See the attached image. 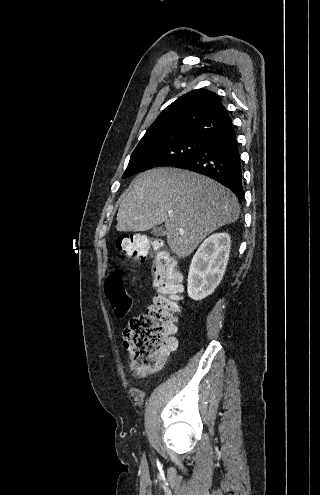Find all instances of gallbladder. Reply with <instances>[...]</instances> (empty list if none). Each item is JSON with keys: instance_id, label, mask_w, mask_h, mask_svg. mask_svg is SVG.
Returning a JSON list of instances; mask_svg holds the SVG:
<instances>
[{"instance_id": "1", "label": "gallbladder", "mask_w": 320, "mask_h": 495, "mask_svg": "<svg viewBox=\"0 0 320 495\" xmlns=\"http://www.w3.org/2000/svg\"><path fill=\"white\" fill-rule=\"evenodd\" d=\"M154 236L161 237L165 235V229L162 226L154 227L151 231Z\"/></svg>"}]
</instances>
